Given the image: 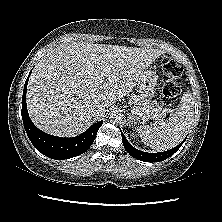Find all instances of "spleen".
Returning <instances> with one entry per match:
<instances>
[{"mask_svg":"<svg viewBox=\"0 0 222 222\" xmlns=\"http://www.w3.org/2000/svg\"><path fill=\"white\" fill-rule=\"evenodd\" d=\"M194 100L184 93L175 114L161 126H140L137 130L142 141L150 148L164 151L177 146L187 135L194 121Z\"/></svg>","mask_w":222,"mask_h":222,"instance_id":"1","label":"spleen"}]
</instances>
